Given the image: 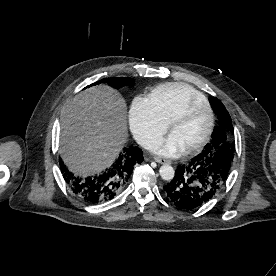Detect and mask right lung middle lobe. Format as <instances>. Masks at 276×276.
Instances as JSON below:
<instances>
[{
	"label": "right lung middle lobe",
	"mask_w": 276,
	"mask_h": 276,
	"mask_svg": "<svg viewBox=\"0 0 276 276\" xmlns=\"http://www.w3.org/2000/svg\"><path fill=\"white\" fill-rule=\"evenodd\" d=\"M100 82H108L109 85H111L112 87L118 88V87H123L124 85H129V84H133V80L130 78H111V79H103L101 81L96 82L95 84H98ZM94 85V84H92ZM90 85V86H92ZM88 86V87H90Z\"/></svg>",
	"instance_id": "1"
}]
</instances>
